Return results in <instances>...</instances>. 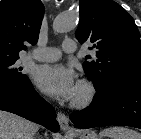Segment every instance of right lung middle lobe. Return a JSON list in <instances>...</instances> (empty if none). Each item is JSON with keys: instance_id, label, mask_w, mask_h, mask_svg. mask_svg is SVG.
I'll return each instance as SVG.
<instances>
[{"instance_id": "1", "label": "right lung middle lobe", "mask_w": 141, "mask_h": 139, "mask_svg": "<svg viewBox=\"0 0 141 139\" xmlns=\"http://www.w3.org/2000/svg\"><path fill=\"white\" fill-rule=\"evenodd\" d=\"M19 56H0V85H17L28 81V77L18 65Z\"/></svg>"}]
</instances>
